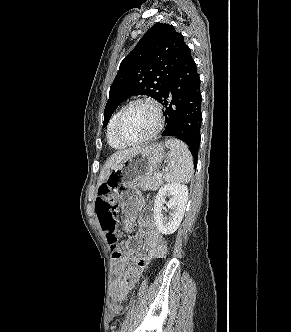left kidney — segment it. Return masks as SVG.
<instances>
[{"instance_id":"obj_1","label":"left kidney","mask_w":291,"mask_h":332,"mask_svg":"<svg viewBox=\"0 0 291 332\" xmlns=\"http://www.w3.org/2000/svg\"><path fill=\"white\" fill-rule=\"evenodd\" d=\"M170 196V200L166 203L165 197ZM188 201V188L184 184L169 183L162 186L156 196L154 202V219L158 230L165 235L174 233L185 213ZM170 209L169 217H164L162 208L164 204Z\"/></svg>"}]
</instances>
